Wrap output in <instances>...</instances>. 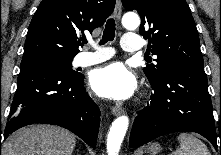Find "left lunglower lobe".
<instances>
[{
  "label": "left lung lower lobe",
  "mask_w": 221,
  "mask_h": 155,
  "mask_svg": "<svg viewBox=\"0 0 221 155\" xmlns=\"http://www.w3.org/2000/svg\"><path fill=\"white\" fill-rule=\"evenodd\" d=\"M151 102L137 113L132 148L172 132H197L217 149L216 131L207 77L203 66H177L156 82ZM221 154V134H220Z\"/></svg>",
  "instance_id": "left-lung-lower-lobe-1"
}]
</instances>
